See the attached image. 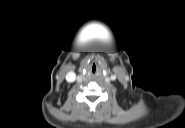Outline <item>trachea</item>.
Wrapping results in <instances>:
<instances>
[{
	"instance_id": "trachea-1",
	"label": "trachea",
	"mask_w": 185,
	"mask_h": 128,
	"mask_svg": "<svg viewBox=\"0 0 185 128\" xmlns=\"http://www.w3.org/2000/svg\"><path fill=\"white\" fill-rule=\"evenodd\" d=\"M96 72V66L93 65L92 67V73H95Z\"/></svg>"
}]
</instances>
